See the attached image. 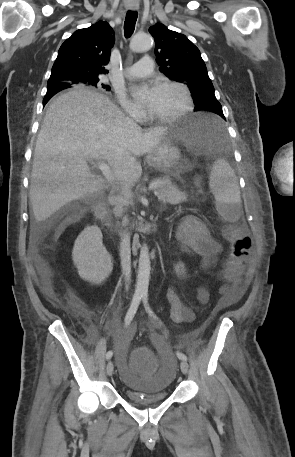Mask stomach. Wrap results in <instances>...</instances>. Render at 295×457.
Returning a JSON list of instances; mask_svg holds the SVG:
<instances>
[{"mask_svg": "<svg viewBox=\"0 0 295 457\" xmlns=\"http://www.w3.org/2000/svg\"><path fill=\"white\" fill-rule=\"evenodd\" d=\"M205 125L206 122L200 115H192L168 127L159 144L148 153V165L158 171L177 176L183 169L180 146L184 145L190 149L202 147L211 138Z\"/></svg>", "mask_w": 295, "mask_h": 457, "instance_id": "stomach-1", "label": "stomach"}]
</instances>
